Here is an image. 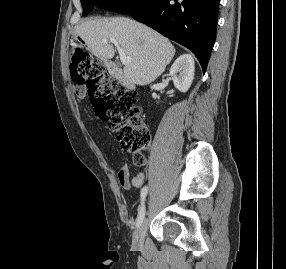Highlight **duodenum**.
<instances>
[{
	"label": "duodenum",
	"instance_id": "obj_1",
	"mask_svg": "<svg viewBox=\"0 0 286 269\" xmlns=\"http://www.w3.org/2000/svg\"><path fill=\"white\" fill-rule=\"evenodd\" d=\"M106 66H107L108 72L110 73L112 77H115L121 80L124 86H126L127 88H130V89L134 88V84L126 78V76L124 75V72L115 62H107Z\"/></svg>",
	"mask_w": 286,
	"mask_h": 269
}]
</instances>
